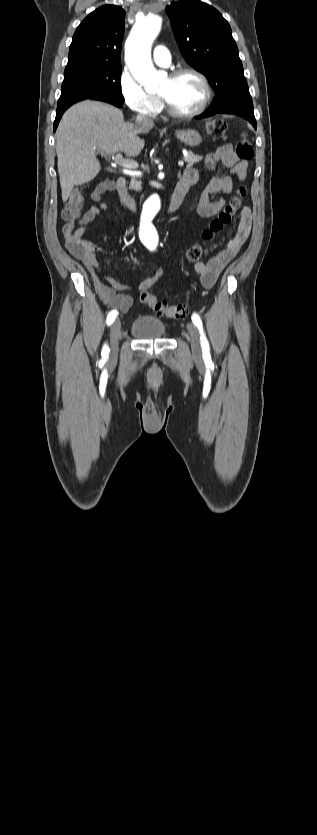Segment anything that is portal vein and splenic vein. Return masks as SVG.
<instances>
[{
	"label": "portal vein and splenic vein",
	"mask_w": 317,
	"mask_h": 835,
	"mask_svg": "<svg viewBox=\"0 0 317 835\" xmlns=\"http://www.w3.org/2000/svg\"><path fill=\"white\" fill-rule=\"evenodd\" d=\"M115 163L120 165L121 167H124V168H137L139 166V164L136 161L124 159L121 154H117L115 156ZM178 165L180 167H183L184 166V161H182V160L179 161ZM180 173L181 172H179L178 174H180Z\"/></svg>",
	"instance_id": "1"
}]
</instances>
